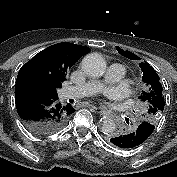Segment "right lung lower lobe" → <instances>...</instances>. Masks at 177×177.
Returning <instances> with one entry per match:
<instances>
[{
  "mask_svg": "<svg viewBox=\"0 0 177 177\" xmlns=\"http://www.w3.org/2000/svg\"><path fill=\"white\" fill-rule=\"evenodd\" d=\"M15 103L24 125L36 135L57 132L75 111L70 104L59 103L58 96L30 90L16 91Z\"/></svg>",
  "mask_w": 177,
  "mask_h": 177,
  "instance_id": "98d812e1",
  "label": "right lung lower lobe"
}]
</instances>
